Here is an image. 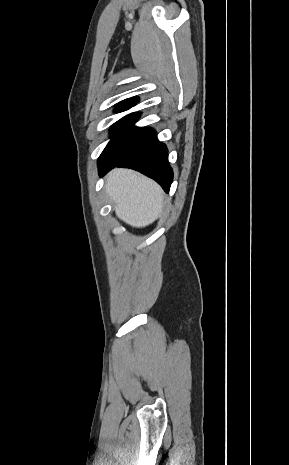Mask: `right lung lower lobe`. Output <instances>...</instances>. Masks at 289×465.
I'll return each mask as SVG.
<instances>
[{
    "mask_svg": "<svg viewBox=\"0 0 289 465\" xmlns=\"http://www.w3.org/2000/svg\"><path fill=\"white\" fill-rule=\"evenodd\" d=\"M99 175L103 176L114 167L137 170L158 182L169 192L173 171L168 162L166 146L157 140L156 132H149L121 159L114 162H98Z\"/></svg>",
    "mask_w": 289,
    "mask_h": 465,
    "instance_id": "obj_1",
    "label": "right lung lower lobe"
}]
</instances>
